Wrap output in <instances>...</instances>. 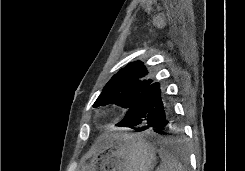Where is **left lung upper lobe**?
I'll return each mask as SVG.
<instances>
[{
  "mask_svg": "<svg viewBox=\"0 0 245 171\" xmlns=\"http://www.w3.org/2000/svg\"><path fill=\"white\" fill-rule=\"evenodd\" d=\"M145 75L147 70L143 62L129 63L109 80L93 106L114 103L130 110L140 93L153 82L151 79L141 80Z\"/></svg>",
  "mask_w": 245,
  "mask_h": 171,
  "instance_id": "obj_1",
  "label": "left lung upper lobe"
}]
</instances>
